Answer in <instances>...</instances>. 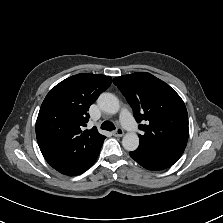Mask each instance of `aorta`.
Here are the masks:
<instances>
[{"instance_id": "obj_1", "label": "aorta", "mask_w": 223, "mask_h": 223, "mask_svg": "<svg viewBox=\"0 0 223 223\" xmlns=\"http://www.w3.org/2000/svg\"><path fill=\"white\" fill-rule=\"evenodd\" d=\"M99 108L110 115H115L120 110L119 99L111 93H102L97 100ZM122 145L128 151H133L139 146L137 133H126L122 138Z\"/></svg>"}]
</instances>
